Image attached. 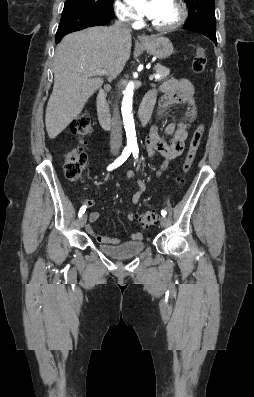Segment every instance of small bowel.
<instances>
[{
  "label": "small bowel",
  "mask_w": 254,
  "mask_h": 397,
  "mask_svg": "<svg viewBox=\"0 0 254 397\" xmlns=\"http://www.w3.org/2000/svg\"><path fill=\"white\" fill-rule=\"evenodd\" d=\"M159 93H161L162 96L158 106V117H161L172 105L186 106V111L183 116L177 122H171L165 127V133L171 137L169 142L160 135L157 124L152 125L146 139L148 157L152 159L154 153L158 152L164 159L158 170V174H161L172 161L183 153L185 140L188 136V129L196 118L197 111L194 99V87L187 79H167L159 86L158 89H154L149 92V94L154 98V101ZM135 176L136 174L133 171L127 173L128 179H132ZM144 191L145 184L140 180L138 182L137 190L132 196L133 204L137 205L140 202ZM88 205L91 206L92 202H88ZM125 216L128 220H133L135 218V214L131 210H126ZM99 218L100 214L96 210L92 211L89 215V221L91 223L97 222ZM86 231L99 243L109 245L119 243L118 238L98 234L91 225L86 226ZM142 238L143 234L141 232L133 233L130 236L132 241H140Z\"/></svg>",
  "instance_id": "obj_1"
}]
</instances>
